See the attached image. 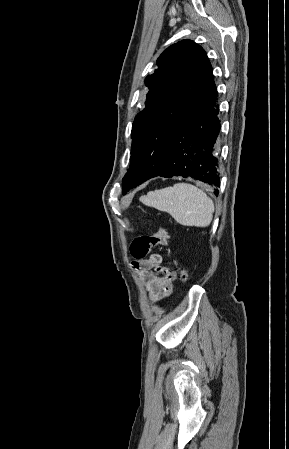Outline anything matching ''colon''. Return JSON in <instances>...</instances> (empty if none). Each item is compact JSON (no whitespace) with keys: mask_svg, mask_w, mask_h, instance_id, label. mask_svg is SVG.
<instances>
[{"mask_svg":"<svg viewBox=\"0 0 289 449\" xmlns=\"http://www.w3.org/2000/svg\"><path fill=\"white\" fill-rule=\"evenodd\" d=\"M167 240L168 232L163 227H159L154 234L137 236L130 245L131 255L137 259L146 258L154 246L165 245ZM178 272L182 282L186 283L189 280L188 272L184 268H179Z\"/></svg>","mask_w":289,"mask_h":449,"instance_id":"obj_1","label":"colon"}]
</instances>
